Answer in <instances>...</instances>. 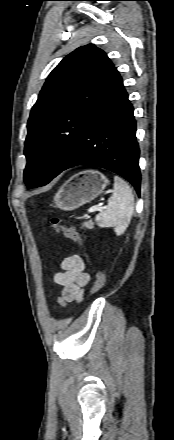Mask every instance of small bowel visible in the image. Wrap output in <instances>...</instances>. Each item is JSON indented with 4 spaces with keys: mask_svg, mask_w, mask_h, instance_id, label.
Returning <instances> with one entry per match:
<instances>
[{
    "mask_svg": "<svg viewBox=\"0 0 174 440\" xmlns=\"http://www.w3.org/2000/svg\"><path fill=\"white\" fill-rule=\"evenodd\" d=\"M53 280L61 287L59 302L62 305L70 302L81 303L90 282V274L86 272L81 256L75 254L62 260L60 271L54 274Z\"/></svg>",
    "mask_w": 174,
    "mask_h": 440,
    "instance_id": "1",
    "label": "small bowel"
}]
</instances>
